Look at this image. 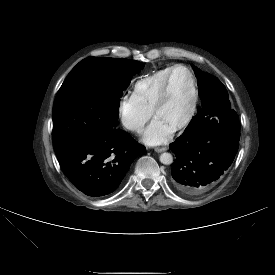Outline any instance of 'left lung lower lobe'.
Wrapping results in <instances>:
<instances>
[{
	"instance_id": "obj_1",
	"label": "left lung lower lobe",
	"mask_w": 275,
	"mask_h": 275,
	"mask_svg": "<svg viewBox=\"0 0 275 275\" xmlns=\"http://www.w3.org/2000/svg\"><path fill=\"white\" fill-rule=\"evenodd\" d=\"M239 138L220 128L188 136L182 134L170 145L176 155L173 185L188 195L210 190L232 164Z\"/></svg>"
}]
</instances>
